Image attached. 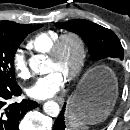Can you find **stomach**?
<instances>
[{
  "instance_id": "0dacf381",
  "label": "stomach",
  "mask_w": 130,
  "mask_h": 130,
  "mask_svg": "<svg viewBox=\"0 0 130 130\" xmlns=\"http://www.w3.org/2000/svg\"><path fill=\"white\" fill-rule=\"evenodd\" d=\"M89 78L98 81L106 80L109 84L98 86L91 93L84 92V86ZM118 95L117 79L107 67H98L84 79L79 90L70 99L69 114L80 119L85 124H96L104 120L112 111Z\"/></svg>"
}]
</instances>
